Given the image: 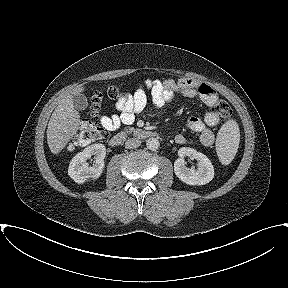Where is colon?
<instances>
[{"mask_svg": "<svg viewBox=\"0 0 288 288\" xmlns=\"http://www.w3.org/2000/svg\"><path fill=\"white\" fill-rule=\"evenodd\" d=\"M107 94L115 100L123 99L126 95L121 91L118 85H110ZM102 94L96 92L91 98V109L94 118H98L101 111ZM215 110L221 117H229L231 110L227 102L220 100L215 105ZM108 132L106 128L100 125L96 120H85L81 123L79 131L75 137V143L79 145H87L106 138Z\"/></svg>", "mask_w": 288, "mask_h": 288, "instance_id": "colon-1", "label": "colon"}]
</instances>
